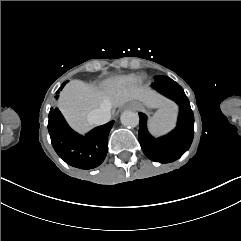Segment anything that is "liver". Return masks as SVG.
Segmentation results:
<instances>
[{"instance_id": "obj_1", "label": "liver", "mask_w": 241, "mask_h": 241, "mask_svg": "<svg viewBox=\"0 0 241 241\" xmlns=\"http://www.w3.org/2000/svg\"><path fill=\"white\" fill-rule=\"evenodd\" d=\"M121 78L112 77L103 82V93L90 85L73 80L67 84L59 99V109L70 124L79 132L84 133L90 125L87 115L99 108L103 103H111L112 107H122L124 104L137 100L148 109H168L173 111L172 103L156 96L150 91L141 89H121Z\"/></svg>"}]
</instances>
